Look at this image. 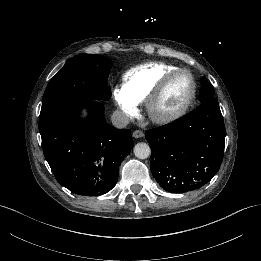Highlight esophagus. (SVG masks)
<instances>
[{
	"label": "esophagus",
	"instance_id": "esophagus-1",
	"mask_svg": "<svg viewBox=\"0 0 261 261\" xmlns=\"http://www.w3.org/2000/svg\"><path fill=\"white\" fill-rule=\"evenodd\" d=\"M143 136H144V133H143L142 130H135V131L133 132V137H135V138H141V137H143Z\"/></svg>",
	"mask_w": 261,
	"mask_h": 261
}]
</instances>
